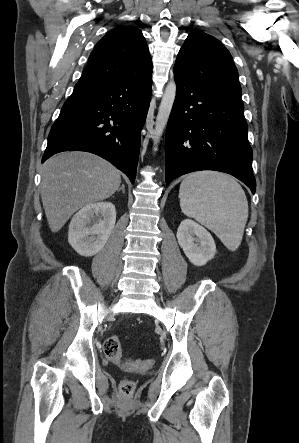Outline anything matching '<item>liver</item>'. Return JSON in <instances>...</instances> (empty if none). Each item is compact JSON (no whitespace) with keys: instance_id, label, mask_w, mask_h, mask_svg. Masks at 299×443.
I'll use <instances>...</instances> for the list:
<instances>
[{"instance_id":"6515ba94","label":"liver","mask_w":299,"mask_h":443,"mask_svg":"<svg viewBox=\"0 0 299 443\" xmlns=\"http://www.w3.org/2000/svg\"><path fill=\"white\" fill-rule=\"evenodd\" d=\"M41 177V199L52 232H58L80 208L112 196L121 184L120 171L111 163L80 151L49 158Z\"/></svg>"}]
</instances>
